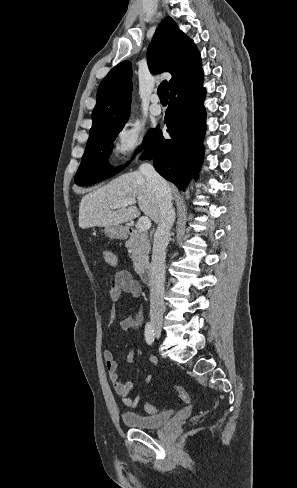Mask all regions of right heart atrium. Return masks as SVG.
I'll list each match as a JSON object with an SVG mask.
<instances>
[{"label":"right heart atrium","instance_id":"d8ad5b80","mask_svg":"<svg viewBox=\"0 0 297 488\" xmlns=\"http://www.w3.org/2000/svg\"><path fill=\"white\" fill-rule=\"evenodd\" d=\"M147 136L144 125L134 119H128L116 133L114 149L116 155L122 160H128L139 152L145 150Z\"/></svg>","mask_w":297,"mask_h":488}]
</instances>
